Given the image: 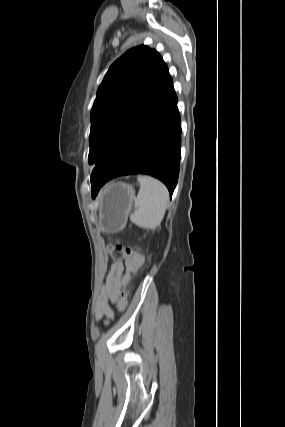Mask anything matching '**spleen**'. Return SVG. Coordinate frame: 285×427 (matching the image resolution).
<instances>
[{"label": "spleen", "mask_w": 285, "mask_h": 427, "mask_svg": "<svg viewBox=\"0 0 285 427\" xmlns=\"http://www.w3.org/2000/svg\"><path fill=\"white\" fill-rule=\"evenodd\" d=\"M140 189L134 199V212L130 220L137 226L153 229L162 222L169 201L166 186L150 176H138Z\"/></svg>", "instance_id": "spleen-1"}]
</instances>
